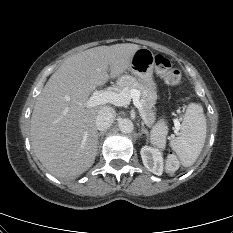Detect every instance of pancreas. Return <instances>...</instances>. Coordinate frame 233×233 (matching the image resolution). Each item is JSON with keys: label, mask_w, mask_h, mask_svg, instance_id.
Returning <instances> with one entry per match:
<instances>
[{"label": "pancreas", "mask_w": 233, "mask_h": 233, "mask_svg": "<svg viewBox=\"0 0 233 233\" xmlns=\"http://www.w3.org/2000/svg\"><path fill=\"white\" fill-rule=\"evenodd\" d=\"M119 91L124 88L128 90L136 89L140 92V102L142 104V110L146 117V124L152 128V136L155 144L163 146L167 130L164 125H154L156 120L155 103L156 94L148 90L141 82L135 77L130 75L122 76L117 83Z\"/></svg>", "instance_id": "obj_1"}]
</instances>
